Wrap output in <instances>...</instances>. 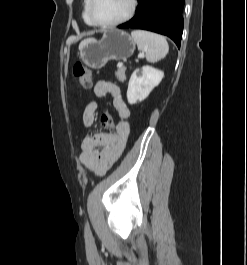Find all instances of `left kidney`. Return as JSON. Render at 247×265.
<instances>
[{
	"label": "left kidney",
	"mask_w": 247,
	"mask_h": 265,
	"mask_svg": "<svg viewBox=\"0 0 247 265\" xmlns=\"http://www.w3.org/2000/svg\"><path fill=\"white\" fill-rule=\"evenodd\" d=\"M163 77V71L151 66H143L136 69L131 75L128 84V103L135 104L146 99L151 91L159 85Z\"/></svg>",
	"instance_id": "left-kidney-1"
}]
</instances>
